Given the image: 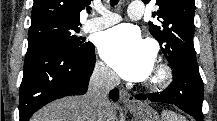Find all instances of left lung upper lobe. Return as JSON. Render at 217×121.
Returning a JSON list of instances; mask_svg holds the SVG:
<instances>
[{"label": "left lung upper lobe", "instance_id": "5c2ea615", "mask_svg": "<svg viewBox=\"0 0 217 121\" xmlns=\"http://www.w3.org/2000/svg\"><path fill=\"white\" fill-rule=\"evenodd\" d=\"M150 1L143 0L144 3ZM156 5L159 10L153 12L152 16H157L161 26L149 22V29L170 66L181 62L198 66L193 44L194 0H156Z\"/></svg>", "mask_w": 217, "mask_h": 121}]
</instances>
